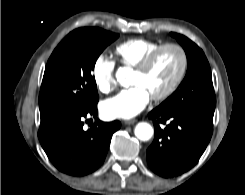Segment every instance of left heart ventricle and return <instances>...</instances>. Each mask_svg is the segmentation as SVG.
<instances>
[{
  "label": "left heart ventricle",
  "instance_id": "left-heart-ventricle-1",
  "mask_svg": "<svg viewBox=\"0 0 245 195\" xmlns=\"http://www.w3.org/2000/svg\"><path fill=\"white\" fill-rule=\"evenodd\" d=\"M179 68L180 55L178 51L172 48L165 49L157 56L146 72L134 71L132 85L143 86L152 97L170 86Z\"/></svg>",
  "mask_w": 245,
  "mask_h": 195
}]
</instances>
